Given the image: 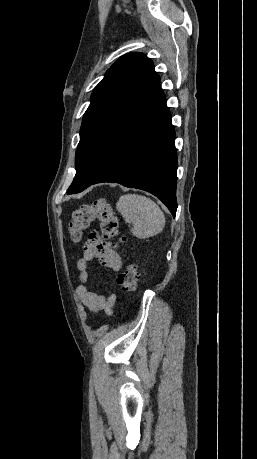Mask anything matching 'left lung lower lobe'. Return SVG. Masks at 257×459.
I'll return each mask as SVG.
<instances>
[{
	"label": "left lung lower lobe",
	"mask_w": 257,
	"mask_h": 459,
	"mask_svg": "<svg viewBox=\"0 0 257 459\" xmlns=\"http://www.w3.org/2000/svg\"><path fill=\"white\" fill-rule=\"evenodd\" d=\"M158 75L110 130L99 172L91 185L119 183L157 196L175 217V131Z\"/></svg>",
	"instance_id": "1"
}]
</instances>
